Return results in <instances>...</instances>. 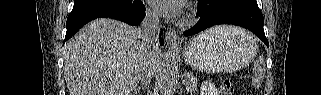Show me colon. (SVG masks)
Instances as JSON below:
<instances>
[{
  "label": "colon",
  "instance_id": "obj_1",
  "mask_svg": "<svg viewBox=\"0 0 321 95\" xmlns=\"http://www.w3.org/2000/svg\"><path fill=\"white\" fill-rule=\"evenodd\" d=\"M234 85L230 80H225L220 86V94H233Z\"/></svg>",
  "mask_w": 321,
  "mask_h": 95
}]
</instances>
